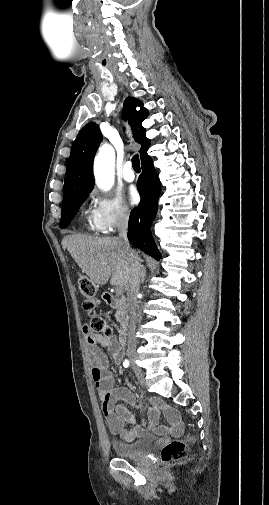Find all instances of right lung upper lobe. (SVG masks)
Segmentation results:
<instances>
[{
	"mask_svg": "<svg viewBox=\"0 0 269 505\" xmlns=\"http://www.w3.org/2000/svg\"><path fill=\"white\" fill-rule=\"evenodd\" d=\"M138 106L141 107L139 111L136 110ZM147 116L148 111L139 100L133 97L125 99L122 117L128 120L134 140L141 144L139 152L142 161L148 157L146 152L150 146V140L145 136L146 130L141 125ZM101 140L102 135L96 123H88L79 132L67 162L63 201L78 193L92 190L94 186L93 158Z\"/></svg>",
	"mask_w": 269,
	"mask_h": 505,
	"instance_id": "right-lung-upper-lobe-1",
	"label": "right lung upper lobe"
}]
</instances>
